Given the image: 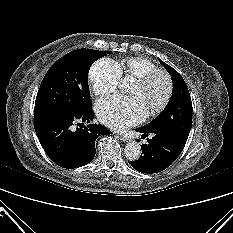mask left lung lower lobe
Listing matches in <instances>:
<instances>
[{
	"label": "left lung lower lobe",
	"mask_w": 233,
	"mask_h": 233,
	"mask_svg": "<svg viewBox=\"0 0 233 233\" xmlns=\"http://www.w3.org/2000/svg\"><path fill=\"white\" fill-rule=\"evenodd\" d=\"M136 131L143 133L142 137L151 134L148 144L141 145L142 154L131 166L142 173H157L169 167L182 152L186 141L179 139L171 131L163 128L143 129Z\"/></svg>",
	"instance_id": "1"
}]
</instances>
